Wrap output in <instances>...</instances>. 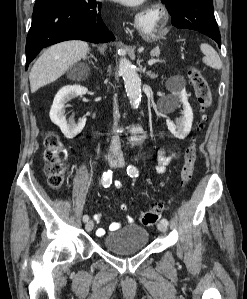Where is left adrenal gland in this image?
<instances>
[{"instance_id":"1","label":"left adrenal gland","mask_w":247,"mask_h":299,"mask_svg":"<svg viewBox=\"0 0 247 299\" xmlns=\"http://www.w3.org/2000/svg\"><path fill=\"white\" fill-rule=\"evenodd\" d=\"M147 75L151 78H156L157 77V74H155L154 72L152 71H147Z\"/></svg>"}]
</instances>
